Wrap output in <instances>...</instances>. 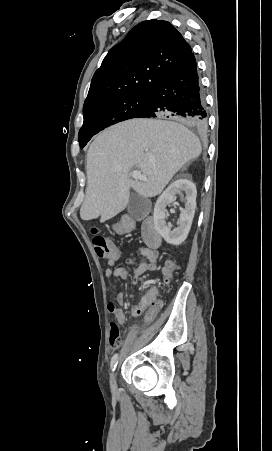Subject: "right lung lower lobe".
I'll list each match as a JSON object with an SVG mask.
<instances>
[{"label":"right lung lower lobe","instance_id":"obj_1","mask_svg":"<svg viewBox=\"0 0 272 451\" xmlns=\"http://www.w3.org/2000/svg\"><path fill=\"white\" fill-rule=\"evenodd\" d=\"M173 118L194 129H207V112L194 54L149 94L147 108L136 118Z\"/></svg>","mask_w":272,"mask_h":451}]
</instances>
